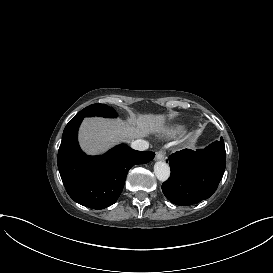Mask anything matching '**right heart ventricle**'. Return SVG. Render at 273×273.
<instances>
[{"label": "right heart ventricle", "instance_id": "e07e8e85", "mask_svg": "<svg viewBox=\"0 0 273 273\" xmlns=\"http://www.w3.org/2000/svg\"><path fill=\"white\" fill-rule=\"evenodd\" d=\"M181 127H178L177 130L175 132H178L180 130Z\"/></svg>", "mask_w": 273, "mask_h": 273}]
</instances>
